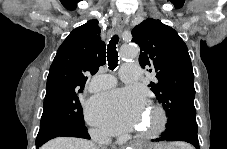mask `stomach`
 I'll return each mask as SVG.
<instances>
[{
	"label": "stomach",
	"mask_w": 227,
	"mask_h": 149,
	"mask_svg": "<svg viewBox=\"0 0 227 149\" xmlns=\"http://www.w3.org/2000/svg\"><path fill=\"white\" fill-rule=\"evenodd\" d=\"M147 149H173V148L167 147L165 145H155L154 147L147 148Z\"/></svg>",
	"instance_id": "1"
}]
</instances>
